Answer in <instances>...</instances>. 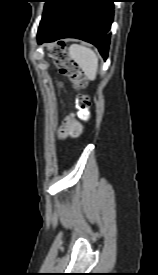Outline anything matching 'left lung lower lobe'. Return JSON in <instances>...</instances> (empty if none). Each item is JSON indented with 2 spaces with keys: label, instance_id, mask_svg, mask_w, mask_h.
<instances>
[{
  "label": "left lung lower lobe",
  "instance_id": "0a47b994",
  "mask_svg": "<svg viewBox=\"0 0 158 275\" xmlns=\"http://www.w3.org/2000/svg\"><path fill=\"white\" fill-rule=\"evenodd\" d=\"M114 0H48L38 29V44L78 38L108 56Z\"/></svg>",
  "mask_w": 158,
  "mask_h": 275
}]
</instances>
